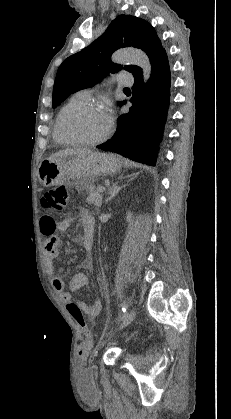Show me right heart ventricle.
Segmentation results:
<instances>
[{
  "label": "right heart ventricle",
  "instance_id": "right-heart-ventricle-1",
  "mask_svg": "<svg viewBox=\"0 0 231 419\" xmlns=\"http://www.w3.org/2000/svg\"><path fill=\"white\" fill-rule=\"evenodd\" d=\"M87 101H88V99L85 98L80 92H78V93L74 94L60 108V110L58 111V113L56 115L54 126H53V139L56 143L62 144V145L74 144L63 136V134L61 132V128H60L61 119L68 110H70L71 108H73L77 105L86 103Z\"/></svg>",
  "mask_w": 231,
  "mask_h": 419
}]
</instances>
